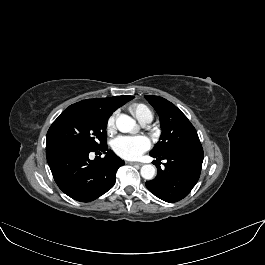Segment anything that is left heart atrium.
Returning <instances> with one entry per match:
<instances>
[{
	"label": "left heart atrium",
	"instance_id": "39dd6f15",
	"mask_svg": "<svg viewBox=\"0 0 265 265\" xmlns=\"http://www.w3.org/2000/svg\"><path fill=\"white\" fill-rule=\"evenodd\" d=\"M149 148L143 136H119L113 142L114 151L125 159H136Z\"/></svg>",
	"mask_w": 265,
	"mask_h": 265
}]
</instances>
